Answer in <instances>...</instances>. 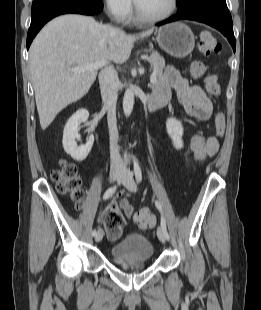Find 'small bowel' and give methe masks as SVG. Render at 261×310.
Listing matches in <instances>:
<instances>
[{
  "instance_id": "c3829d8e",
  "label": "small bowel",
  "mask_w": 261,
  "mask_h": 310,
  "mask_svg": "<svg viewBox=\"0 0 261 310\" xmlns=\"http://www.w3.org/2000/svg\"><path fill=\"white\" fill-rule=\"evenodd\" d=\"M171 90H174L176 96L185 111L198 120H207L212 114V103L202 87L190 84L186 79L172 67H167L164 71V79L154 86V97L167 101ZM218 141L214 137L205 138L196 134L192 137L191 148L197 160H203L211 157L218 151ZM120 211L126 217L133 215V207L127 199L119 201Z\"/></svg>"
}]
</instances>
